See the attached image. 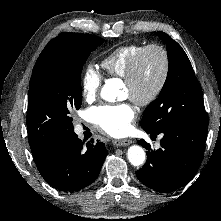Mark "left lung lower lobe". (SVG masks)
<instances>
[{"mask_svg": "<svg viewBox=\"0 0 221 221\" xmlns=\"http://www.w3.org/2000/svg\"><path fill=\"white\" fill-rule=\"evenodd\" d=\"M207 127L208 120L202 125L175 123L161 132L164 135L160 141L161 148L156 151L143 139L139 140L138 144L148 151L147 161L137 171V178L161 193L186 185L202 162Z\"/></svg>", "mask_w": 221, "mask_h": 221, "instance_id": "left-lung-lower-lobe-1", "label": "left lung lower lobe"}]
</instances>
